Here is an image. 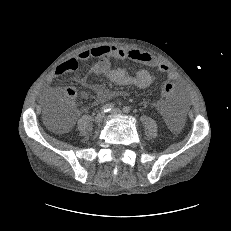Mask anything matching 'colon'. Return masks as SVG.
<instances>
[{"label": "colon", "mask_w": 231, "mask_h": 231, "mask_svg": "<svg viewBox=\"0 0 231 231\" xmlns=\"http://www.w3.org/2000/svg\"><path fill=\"white\" fill-rule=\"evenodd\" d=\"M161 91L166 98L172 99L178 95L179 89L174 81L167 80L162 84ZM75 94L76 92L74 89H66L62 96H56L50 100L47 109V117L52 124L58 121H65L67 124L72 115L68 112V106L64 104L62 97L71 99Z\"/></svg>", "instance_id": "obj_1"}]
</instances>
